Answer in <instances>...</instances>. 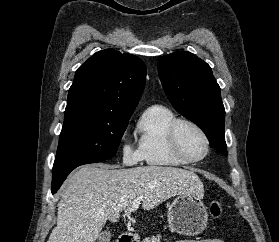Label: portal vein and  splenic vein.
<instances>
[{"mask_svg":"<svg viewBox=\"0 0 279 242\" xmlns=\"http://www.w3.org/2000/svg\"><path fill=\"white\" fill-rule=\"evenodd\" d=\"M140 201H141V197L134 199L133 202L131 203V207L129 208L130 211H135L139 207Z\"/></svg>","mask_w":279,"mask_h":242,"instance_id":"18ae733b","label":"portal vein and splenic vein"}]
</instances>
